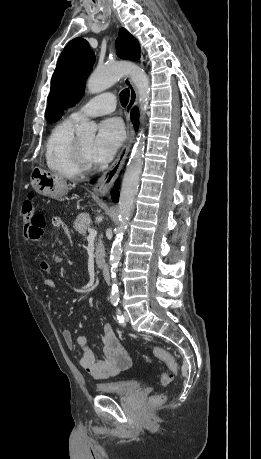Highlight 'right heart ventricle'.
Segmentation results:
<instances>
[{"instance_id":"right-heart-ventricle-1","label":"right heart ventricle","mask_w":261,"mask_h":459,"mask_svg":"<svg viewBox=\"0 0 261 459\" xmlns=\"http://www.w3.org/2000/svg\"><path fill=\"white\" fill-rule=\"evenodd\" d=\"M75 123L76 119L72 117L57 123L45 143L47 167L67 178H76L81 173L74 157Z\"/></svg>"}]
</instances>
